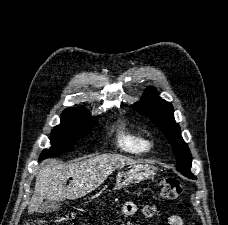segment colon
Returning a JSON list of instances; mask_svg holds the SVG:
<instances>
[{
  "label": "colon",
  "instance_id": "1",
  "mask_svg": "<svg viewBox=\"0 0 228 225\" xmlns=\"http://www.w3.org/2000/svg\"><path fill=\"white\" fill-rule=\"evenodd\" d=\"M183 189L181 182L176 178H165L161 182V197L163 200H174L182 195ZM26 225H45L40 219H32Z\"/></svg>",
  "mask_w": 228,
  "mask_h": 225
}]
</instances>
